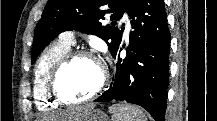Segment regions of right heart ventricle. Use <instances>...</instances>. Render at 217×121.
Returning a JSON list of instances; mask_svg holds the SVG:
<instances>
[{
  "label": "right heart ventricle",
  "mask_w": 217,
  "mask_h": 121,
  "mask_svg": "<svg viewBox=\"0 0 217 121\" xmlns=\"http://www.w3.org/2000/svg\"><path fill=\"white\" fill-rule=\"evenodd\" d=\"M71 50V44L62 39L50 45L40 56L34 70L33 96L41 110L54 109L57 106L48 94V77L54 65Z\"/></svg>",
  "instance_id": "obj_1"
}]
</instances>
